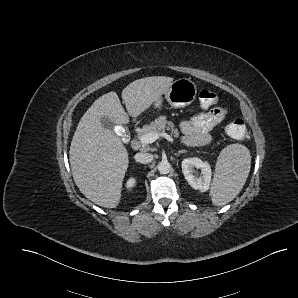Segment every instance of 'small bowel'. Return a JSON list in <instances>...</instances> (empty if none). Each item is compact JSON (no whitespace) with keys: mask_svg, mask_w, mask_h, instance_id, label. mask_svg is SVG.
<instances>
[{"mask_svg":"<svg viewBox=\"0 0 298 298\" xmlns=\"http://www.w3.org/2000/svg\"><path fill=\"white\" fill-rule=\"evenodd\" d=\"M227 116L223 107H215L208 112L198 114L180 124L189 144H204L210 140V132Z\"/></svg>","mask_w":298,"mask_h":298,"instance_id":"obj_1","label":"small bowel"}]
</instances>
